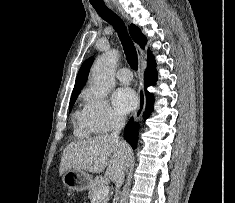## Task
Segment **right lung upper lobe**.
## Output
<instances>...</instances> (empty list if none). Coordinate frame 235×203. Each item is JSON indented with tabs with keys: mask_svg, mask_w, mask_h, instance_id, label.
Segmentation results:
<instances>
[{
	"mask_svg": "<svg viewBox=\"0 0 235 203\" xmlns=\"http://www.w3.org/2000/svg\"><path fill=\"white\" fill-rule=\"evenodd\" d=\"M129 32H130V35L133 38V40L136 43H138L141 46V48H144L146 43H147V39L141 33V30L137 26H135L134 24H131L130 28H129ZM152 58H153L152 53H148V60H150ZM93 60H94L93 57H91V58L87 59L82 64V66H81V68L78 72L77 78H76L75 86H74V89H73V94L79 93L80 89L86 83L87 77H88V74H89V70H90V67L93 63Z\"/></svg>",
	"mask_w": 235,
	"mask_h": 203,
	"instance_id": "1",
	"label": "right lung upper lobe"
}]
</instances>
